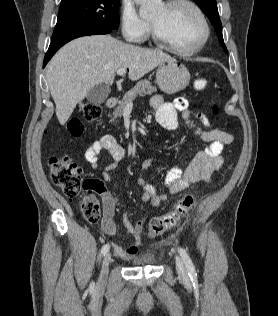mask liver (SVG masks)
I'll return each mask as SVG.
<instances>
[{
  "label": "liver",
  "instance_id": "obj_1",
  "mask_svg": "<svg viewBox=\"0 0 278 316\" xmlns=\"http://www.w3.org/2000/svg\"><path fill=\"white\" fill-rule=\"evenodd\" d=\"M172 59L162 51L127 44L110 35L75 39L62 47L47 66V82L56 105V115L64 125L77 103L102 83L112 85L118 69L129 70L136 81L159 64Z\"/></svg>",
  "mask_w": 278,
  "mask_h": 316
}]
</instances>
